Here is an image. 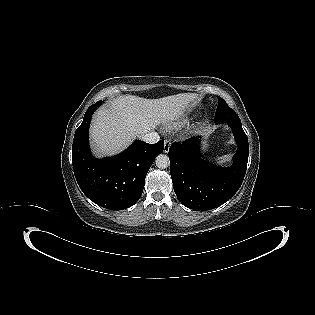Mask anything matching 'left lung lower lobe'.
Segmentation results:
<instances>
[{
  "instance_id": "left-lung-lower-lobe-1",
  "label": "left lung lower lobe",
  "mask_w": 315,
  "mask_h": 315,
  "mask_svg": "<svg viewBox=\"0 0 315 315\" xmlns=\"http://www.w3.org/2000/svg\"><path fill=\"white\" fill-rule=\"evenodd\" d=\"M237 142L234 164L222 168L203 160L199 137L173 143L169 149L170 173L178 200L195 210H208L229 200L245 177L249 145L241 122L228 123Z\"/></svg>"
}]
</instances>
